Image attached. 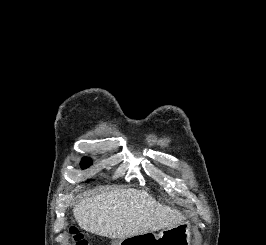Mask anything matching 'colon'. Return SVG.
Masks as SVG:
<instances>
[{"instance_id": "obj_1", "label": "colon", "mask_w": 266, "mask_h": 245, "mask_svg": "<svg viewBox=\"0 0 266 245\" xmlns=\"http://www.w3.org/2000/svg\"><path fill=\"white\" fill-rule=\"evenodd\" d=\"M68 231L74 245H89L88 241L83 237L82 233H80L77 228L70 227Z\"/></svg>"}]
</instances>
